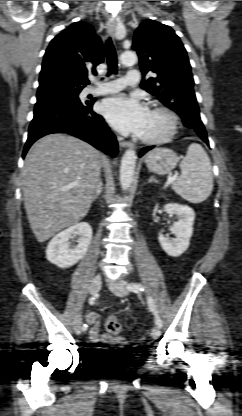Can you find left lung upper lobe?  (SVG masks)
<instances>
[{"mask_svg":"<svg viewBox=\"0 0 242 416\" xmlns=\"http://www.w3.org/2000/svg\"><path fill=\"white\" fill-rule=\"evenodd\" d=\"M132 48L137 51L143 75L156 73L141 87L177 112L184 125L198 136L207 135L193 90L194 80L187 52L174 30L154 20L135 31Z\"/></svg>","mask_w":242,"mask_h":416,"instance_id":"left-lung-upper-lobe-1","label":"left lung upper lobe"}]
</instances>
